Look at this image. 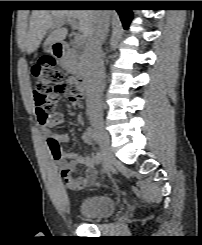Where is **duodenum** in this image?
<instances>
[{
    "label": "duodenum",
    "instance_id": "obj_1",
    "mask_svg": "<svg viewBox=\"0 0 202 245\" xmlns=\"http://www.w3.org/2000/svg\"><path fill=\"white\" fill-rule=\"evenodd\" d=\"M52 52L56 58L65 59L73 55V48L66 41H58L53 45ZM75 88L79 93L90 94L92 92L90 79L84 75L79 76L75 82Z\"/></svg>",
    "mask_w": 202,
    "mask_h": 245
}]
</instances>
